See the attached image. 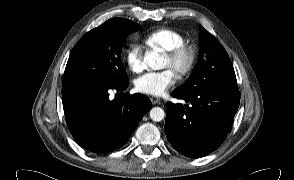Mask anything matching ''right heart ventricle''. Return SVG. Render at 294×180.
<instances>
[{"label":"right heart ventricle","mask_w":294,"mask_h":180,"mask_svg":"<svg viewBox=\"0 0 294 180\" xmlns=\"http://www.w3.org/2000/svg\"><path fill=\"white\" fill-rule=\"evenodd\" d=\"M141 40L146 45L158 47L167 52L173 48L185 44V39L181 33L170 28H161L141 36Z\"/></svg>","instance_id":"e07e8e85"}]
</instances>
